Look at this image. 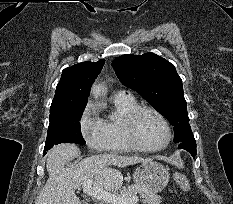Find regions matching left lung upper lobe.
Returning a JSON list of instances; mask_svg holds the SVG:
<instances>
[{
  "label": "left lung upper lobe",
  "mask_w": 233,
  "mask_h": 204,
  "mask_svg": "<svg viewBox=\"0 0 233 204\" xmlns=\"http://www.w3.org/2000/svg\"><path fill=\"white\" fill-rule=\"evenodd\" d=\"M119 80L141 94L174 126L179 148L196 146L190 129L182 80L172 63L154 54L122 55L112 63Z\"/></svg>",
  "instance_id": "1"
}]
</instances>
